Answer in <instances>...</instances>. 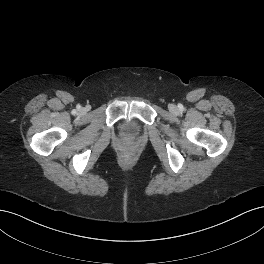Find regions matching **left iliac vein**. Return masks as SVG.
Returning <instances> with one entry per match:
<instances>
[{
    "mask_svg": "<svg viewBox=\"0 0 264 264\" xmlns=\"http://www.w3.org/2000/svg\"><path fill=\"white\" fill-rule=\"evenodd\" d=\"M171 112H176L177 111V107L175 105H170L169 107Z\"/></svg>",
    "mask_w": 264,
    "mask_h": 264,
    "instance_id": "left-iliac-vein-1",
    "label": "left iliac vein"
}]
</instances>
